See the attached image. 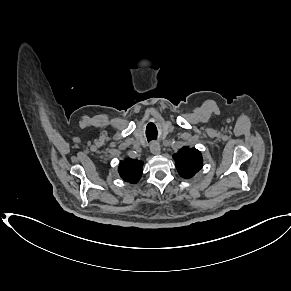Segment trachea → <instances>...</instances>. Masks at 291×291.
<instances>
[{"instance_id": "trachea-1", "label": "trachea", "mask_w": 291, "mask_h": 291, "mask_svg": "<svg viewBox=\"0 0 291 291\" xmlns=\"http://www.w3.org/2000/svg\"><path fill=\"white\" fill-rule=\"evenodd\" d=\"M147 139H148V141H151V140L156 139V136H152V135H150V134L148 133V134H147Z\"/></svg>"}]
</instances>
